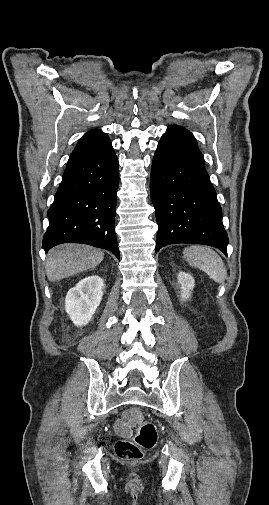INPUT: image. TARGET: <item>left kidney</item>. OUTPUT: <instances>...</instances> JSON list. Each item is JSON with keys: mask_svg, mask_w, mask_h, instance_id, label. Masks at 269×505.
<instances>
[{"mask_svg": "<svg viewBox=\"0 0 269 505\" xmlns=\"http://www.w3.org/2000/svg\"><path fill=\"white\" fill-rule=\"evenodd\" d=\"M178 284H180V289H181V293H180V297H181V300L182 301H187L188 299L191 298V293H192V290L195 286V280L194 278L185 273V272H182L180 271L178 273Z\"/></svg>", "mask_w": 269, "mask_h": 505, "instance_id": "obj_1", "label": "left kidney"}]
</instances>
